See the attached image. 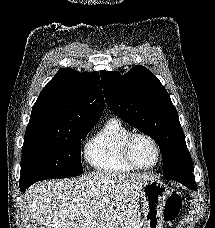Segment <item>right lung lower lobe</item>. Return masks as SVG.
Segmentation results:
<instances>
[{"mask_svg": "<svg viewBox=\"0 0 215 228\" xmlns=\"http://www.w3.org/2000/svg\"><path fill=\"white\" fill-rule=\"evenodd\" d=\"M28 187H27L26 184H20V189H21L22 192H25L26 188H28Z\"/></svg>", "mask_w": 215, "mask_h": 228, "instance_id": "1", "label": "right lung lower lobe"}]
</instances>
